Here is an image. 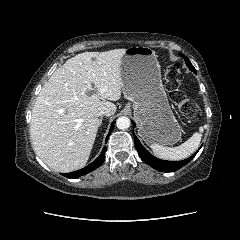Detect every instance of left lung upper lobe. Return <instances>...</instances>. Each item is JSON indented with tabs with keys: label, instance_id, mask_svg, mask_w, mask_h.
I'll return each mask as SVG.
<instances>
[{
	"label": "left lung upper lobe",
	"instance_id": "left-lung-upper-lobe-1",
	"mask_svg": "<svg viewBox=\"0 0 240 240\" xmlns=\"http://www.w3.org/2000/svg\"><path fill=\"white\" fill-rule=\"evenodd\" d=\"M180 55L184 58V60H185V62H186V65L189 67V69H190L192 72L196 73V69L193 67V65H192L191 62L188 60V58H187L185 55H183V54H180Z\"/></svg>",
	"mask_w": 240,
	"mask_h": 240
}]
</instances>
